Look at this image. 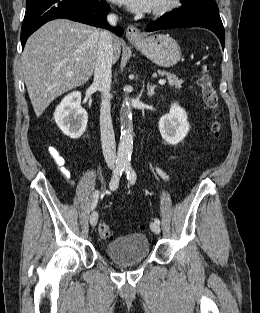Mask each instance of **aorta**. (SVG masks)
Instances as JSON below:
<instances>
[{
	"label": "aorta",
	"instance_id": "obj_1",
	"mask_svg": "<svg viewBox=\"0 0 260 313\" xmlns=\"http://www.w3.org/2000/svg\"><path fill=\"white\" fill-rule=\"evenodd\" d=\"M124 92H129L128 88H124ZM121 136L117 153V161L119 164H129L133 151V126H132V110L129 98L126 96L124 106L121 109Z\"/></svg>",
	"mask_w": 260,
	"mask_h": 313
}]
</instances>
